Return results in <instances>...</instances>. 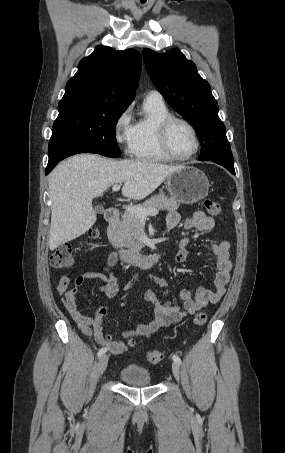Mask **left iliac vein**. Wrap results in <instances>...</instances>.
<instances>
[{
  "instance_id": "left-iliac-vein-1",
  "label": "left iliac vein",
  "mask_w": 285,
  "mask_h": 453,
  "mask_svg": "<svg viewBox=\"0 0 285 453\" xmlns=\"http://www.w3.org/2000/svg\"><path fill=\"white\" fill-rule=\"evenodd\" d=\"M172 372L174 377L176 378L177 381H179L180 378V367L179 364L176 362L172 363Z\"/></svg>"
}]
</instances>
